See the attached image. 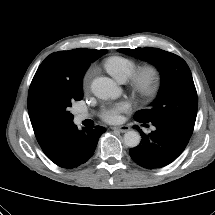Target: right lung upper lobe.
<instances>
[{"instance_id": "cb5924a9", "label": "right lung upper lobe", "mask_w": 215, "mask_h": 215, "mask_svg": "<svg viewBox=\"0 0 215 215\" xmlns=\"http://www.w3.org/2000/svg\"><path fill=\"white\" fill-rule=\"evenodd\" d=\"M101 52L102 50L79 48V49H74L70 51H60V52L53 53L47 57V60L58 58V57H66V56H74L78 58L91 59L96 55L100 54ZM81 83H82V79H81ZM30 120H31V124L34 130L36 139L40 144L44 153L49 152L54 147L56 142L61 138V136L65 133V131H67L70 127L74 125V123H72L66 126H58V127L49 126L39 122L37 119H35L32 116H30Z\"/></svg>"}]
</instances>
